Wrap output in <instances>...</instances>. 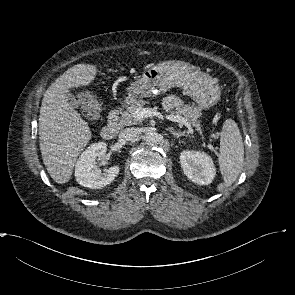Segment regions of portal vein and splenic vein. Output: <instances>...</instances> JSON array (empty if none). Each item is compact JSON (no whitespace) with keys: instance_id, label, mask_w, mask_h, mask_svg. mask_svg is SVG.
Masks as SVG:
<instances>
[{"instance_id":"portal-vein-and-splenic-vein-1","label":"portal vein and splenic vein","mask_w":295,"mask_h":295,"mask_svg":"<svg viewBox=\"0 0 295 295\" xmlns=\"http://www.w3.org/2000/svg\"><path fill=\"white\" fill-rule=\"evenodd\" d=\"M158 115L159 113L152 108H138L135 111V116L139 120H142L146 117L158 116ZM165 118L168 119L169 121L182 123L186 125L187 127H190V123L185 118L179 115H166Z\"/></svg>"}]
</instances>
